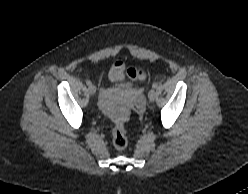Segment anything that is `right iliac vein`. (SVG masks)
Segmentation results:
<instances>
[{"label": "right iliac vein", "mask_w": 248, "mask_h": 194, "mask_svg": "<svg viewBox=\"0 0 248 194\" xmlns=\"http://www.w3.org/2000/svg\"><path fill=\"white\" fill-rule=\"evenodd\" d=\"M88 91H89V93H90L91 95H94L95 92H96V87H95L94 85L91 84V85L88 87Z\"/></svg>", "instance_id": "1"}]
</instances>
